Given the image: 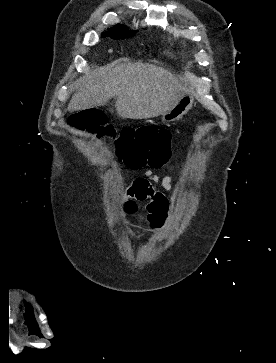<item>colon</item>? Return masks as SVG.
Returning a JSON list of instances; mask_svg holds the SVG:
<instances>
[{
    "label": "colon",
    "mask_w": 276,
    "mask_h": 363,
    "mask_svg": "<svg viewBox=\"0 0 276 363\" xmlns=\"http://www.w3.org/2000/svg\"><path fill=\"white\" fill-rule=\"evenodd\" d=\"M104 121L103 115L93 109L76 112L70 117L71 124L79 130L102 126ZM106 131L113 133L111 128H106ZM117 151L131 168H158L171 156V133L154 127L125 128L119 132ZM151 219L153 227H160L164 214Z\"/></svg>",
    "instance_id": "5ec220e1"
}]
</instances>
